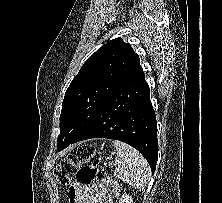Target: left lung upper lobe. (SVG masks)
I'll list each match as a JSON object with an SVG mask.
<instances>
[{"mask_svg":"<svg viewBox=\"0 0 222 203\" xmlns=\"http://www.w3.org/2000/svg\"><path fill=\"white\" fill-rule=\"evenodd\" d=\"M139 65V56L122 38L107 42L86 60L65 93L57 149L83 131Z\"/></svg>","mask_w":222,"mask_h":203,"instance_id":"left-lung-upper-lobe-1","label":"left lung upper lobe"}]
</instances>
